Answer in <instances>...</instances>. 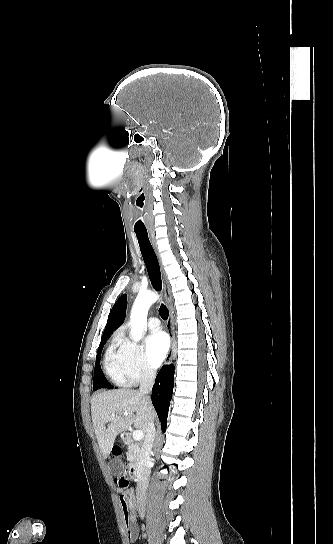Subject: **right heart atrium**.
<instances>
[{"label":"right heart atrium","mask_w":333,"mask_h":544,"mask_svg":"<svg viewBox=\"0 0 333 544\" xmlns=\"http://www.w3.org/2000/svg\"><path fill=\"white\" fill-rule=\"evenodd\" d=\"M118 348L123 374L128 384H137L154 377L155 371L147 362L139 344L120 336Z\"/></svg>","instance_id":"obj_1"}]
</instances>
